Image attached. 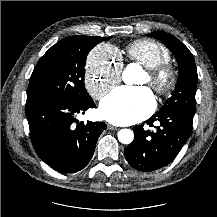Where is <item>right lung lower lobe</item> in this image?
<instances>
[{
	"label": "right lung lower lobe",
	"mask_w": 217,
	"mask_h": 217,
	"mask_svg": "<svg viewBox=\"0 0 217 217\" xmlns=\"http://www.w3.org/2000/svg\"><path fill=\"white\" fill-rule=\"evenodd\" d=\"M92 99L76 103L41 99L26 103L30 137L38 156L60 173L82 170L93 156L104 122H79L78 113L94 108Z\"/></svg>",
	"instance_id": "obj_1"
}]
</instances>
